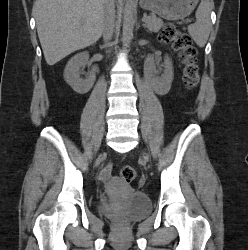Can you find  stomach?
Returning a JSON list of instances; mask_svg holds the SVG:
<instances>
[{"label": "stomach", "mask_w": 248, "mask_h": 250, "mask_svg": "<svg viewBox=\"0 0 248 250\" xmlns=\"http://www.w3.org/2000/svg\"><path fill=\"white\" fill-rule=\"evenodd\" d=\"M198 0H140L143 9L150 10L162 18L179 20L195 9Z\"/></svg>", "instance_id": "obj_1"}]
</instances>
